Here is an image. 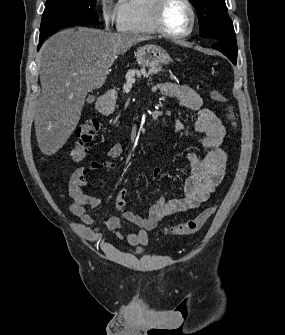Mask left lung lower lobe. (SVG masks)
Listing matches in <instances>:
<instances>
[{
	"label": "left lung lower lobe",
	"instance_id": "1",
	"mask_svg": "<svg viewBox=\"0 0 285 335\" xmlns=\"http://www.w3.org/2000/svg\"><path fill=\"white\" fill-rule=\"evenodd\" d=\"M212 48L222 52L226 55L233 64L237 63V44L236 39L234 41H215L213 42Z\"/></svg>",
	"mask_w": 285,
	"mask_h": 335
}]
</instances>
